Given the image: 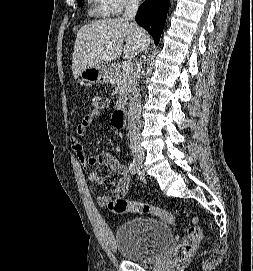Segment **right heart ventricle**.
Returning a JSON list of instances; mask_svg holds the SVG:
<instances>
[{
	"mask_svg": "<svg viewBox=\"0 0 253 271\" xmlns=\"http://www.w3.org/2000/svg\"><path fill=\"white\" fill-rule=\"evenodd\" d=\"M91 10L93 13L99 16H108L112 12L111 10L104 4L102 0H89Z\"/></svg>",
	"mask_w": 253,
	"mask_h": 271,
	"instance_id": "obj_1",
	"label": "right heart ventricle"
}]
</instances>
